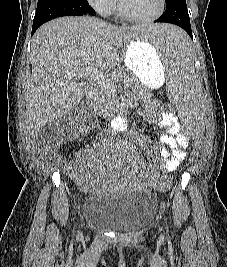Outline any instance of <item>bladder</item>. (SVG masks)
<instances>
[{"mask_svg": "<svg viewBox=\"0 0 227 267\" xmlns=\"http://www.w3.org/2000/svg\"><path fill=\"white\" fill-rule=\"evenodd\" d=\"M156 195L147 189L118 197L91 194L84 201V220L92 227L132 231L148 223L156 213Z\"/></svg>", "mask_w": 227, "mask_h": 267, "instance_id": "obj_1", "label": "bladder"}]
</instances>
